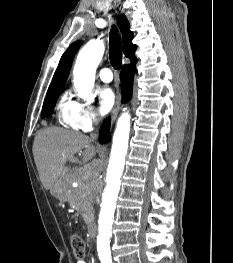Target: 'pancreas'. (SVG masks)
<instances>
[{
  "label": "pancreas",
  "instance_id": "cf45deb5",
  "mask_svg": "<svg viewBox=\"0 0 233 263\" xmlns=\"http://www.w3.org/2000/svg\"><path fill=\"white\" fill-rule=\"evenodd\" d=\"M69 181L71 182L72 179ZM67 201L70 206L75 207V209L82 214L84 222L87 225L90 224L93 219L94 212L89 196L84 194L80 188H71L68 191Z\"/></svg>",
  "mask_w": 233,
  "mask_h": 263
}]
</instances>
